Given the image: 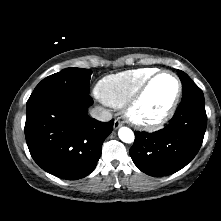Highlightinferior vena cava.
<instances>
[{
    "instance_id": "602c4592",
    "label": "inferior vena cava",
    "mask_w": 221,
    "mask_h": 221,
    "mask_svg": "<svg viewBox=\"0 0 221 221\" xmlns=\"http://www.w3.org/2000/svg\"><path fill=\"white\" fill-rule=\"evenodd\" d=\"M90 114L93 118L102 121V122H108L112 119V114L102 108V107H95L90 111Z\"/></svg>"
}]
</instances>
